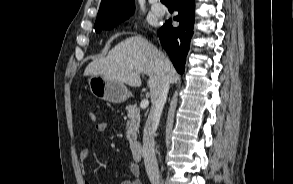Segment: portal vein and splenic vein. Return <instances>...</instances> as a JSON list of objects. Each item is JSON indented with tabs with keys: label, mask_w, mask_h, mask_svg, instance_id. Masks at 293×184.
Masks as SVG:
<instances>
[{
	"label": "portal vein and splenic vein",
	"mask_w": 293,
	"mask_h": 184,
	"mask_svg": "<svg viewBox=\"0 0 293 184\" xmlns=\"http://www.w3.org/2000/svg\"><path fill=\"white\" fill-rule=\"evenodd\" d=\"M148 105H149V101H148V99H143V100L141 101V103H140V107H141L142 109L147 108Z\"/></svg>",
	"instance_id": "obj_1"
}]
</instances>
